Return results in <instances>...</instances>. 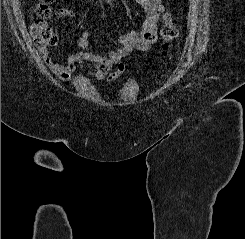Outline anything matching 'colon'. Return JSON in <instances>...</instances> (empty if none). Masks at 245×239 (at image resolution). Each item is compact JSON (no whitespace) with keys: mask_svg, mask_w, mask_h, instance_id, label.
<instances>
[{"mask_svg":"<svg viewBox=\"0 0 245 239\" xmlns=\"http://www.w3.org/2000/svg\"><path fill=\"white\" fill-rule=\"evenodd\" d=\"M52 1L53 0H38L33 5V12L36 17L31 25V35L35 46L43 54L57 41L55 32L47 23L52 13L50 7ZM160 34L163 39L162 55L167 56L170 52L172 42L178 36V29L170 12H166L163 16V25Z\"/></svg>","mask_w":245,"mask_h":239,"instance_id":"1","label":"colon"}]
</instances>
